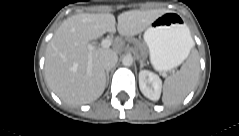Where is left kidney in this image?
Masks as SVG:
<instances>
[{
	"label": "left kidney",
	"instance_id": "left-kidney-1",
	"mask_svg": "<svg viewBox=\"0 0 239 136\" xmlns=\"http://www.w3.org/2000/svg\"><path fill=\"white\" fill-rule=\"evenodd\" d=\"M139 87L145 97L152 101H158L161 95L162 80L149 70H141L139 72Z\"/></svg>",
	"mask_w": 239,
	"mask_h": 136
}]
</instances>
